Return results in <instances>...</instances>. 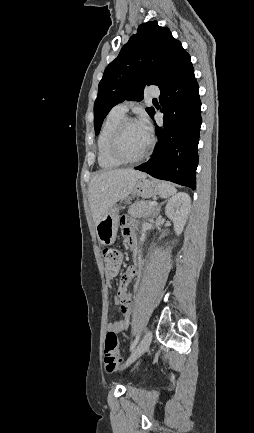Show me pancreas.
Segmentation results:
<instances>
[{
  "label": "pancreas",
  "mask_w": 254,
  "mask_h": 433,
  "mask_svg": "<svg viewBox=\"0 0 254 433\" xmlns=\"http://www.w3.org/2000/svg\"><path fill=\"white\" fill-rule=\"evenodd\" d=\"M151 201L141 200L133 203L129 206L128 213L137 218H150L154 217L156 213V207L150 206Z\"/></svg>",
  "instance_id": "pancreas-1"
}]
</instances>
